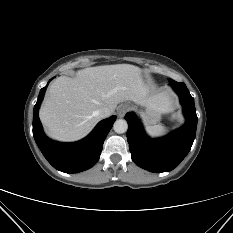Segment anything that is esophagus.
I'll return each instance as SVG.
<instances>
[{
  "label": "esophagus",
  "mask_w": 233,
  "mask_h": 233,
  "mask_svg": "<svg viewBox=\"0 0 233 233\" xmlns=\"http://www.w3.org/2000/svg\"><path fill=\"white\" fill-rule=\"evenodd\" d=\"M128 106L127 105H121L117 109V114L119 117H123L128 112Z\"/></svg>",
  "instance_id": "obj_1"
}]
</instances>
